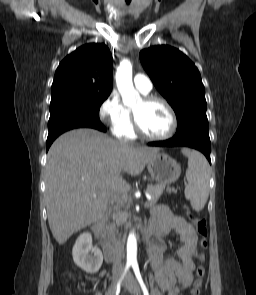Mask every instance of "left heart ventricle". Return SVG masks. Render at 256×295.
Here are the masks:
<instances>
[{"label":"left heart ventricle","instance_id":"1","mask_svg":"<svg viewBox=\"0 0 256 295\" xmlns=\"http://www.w3.org/2000/svg\"><path fill=\"white\" fill-rule=\"evenodd\" d=\"M141 128L148 134L160 136L171 124L167 109L160 103H145L142 99L132 107Z\"/></svg>","mask_w":256,"mask_h":295}]
</instances>
